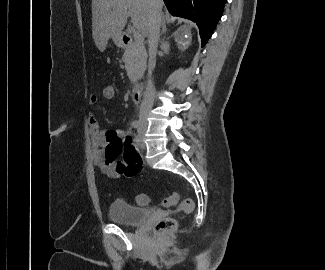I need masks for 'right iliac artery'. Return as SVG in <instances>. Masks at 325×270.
Segmentation results:
<instances>
[{"instance_id": "82829eb1", "label": "right iliac artery", "mask_w": 325, "mask_h": 270, "mask_svg": "<svg viewBox=\"0 0 325 270\" xmlns=\"http://www.w3.org/2000/svg\"><path fill=\"white\" fill-rule=\"evenodd\" d=\"M132 126L134 128H138L140 126V122L138 120H135V121L132 122Z\"/></svg>"}]
</instances>
